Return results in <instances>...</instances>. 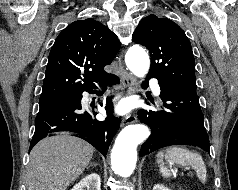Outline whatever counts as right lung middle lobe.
<instances>
[{"mask_svg": "<svg viewBox=\"0 0 238 190\" xmlns=\"http://www.w3.org/2000/svg\"><path fill=\"white\" fill-rule=\"evenodd\" d=\"M79 101V96L75 97H68L64 99L59 100H53V101H46V102H40V109L39 112H44L68 105H73Z\"/></svg>", "mask_w": 238, "mask_h": 190, "instance_id": "1", "label": "right lung middle lobe"}]
</instances>
